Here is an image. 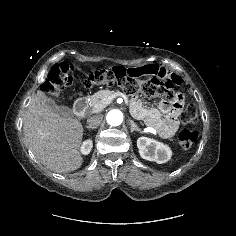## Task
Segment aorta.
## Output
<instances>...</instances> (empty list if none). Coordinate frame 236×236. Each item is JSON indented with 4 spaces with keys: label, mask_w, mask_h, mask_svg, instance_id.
<instances>
[{
    "label": "aorta",
    "mask_w": 236,
    "mask_h": 236,
    "mask_svg": "<svg viewBox=\"0 0 236 236\" xmlns=\"http://www.w3.org/2000/svg\"><path fill=\"white\" fill-rule=\"evenodd\" d=\"M106 120L110 126H119L123 122V113L118 109L110 110L106 116Z\"/></svg>",
    "instance_id": "aorta-1"
}]
</instances>
